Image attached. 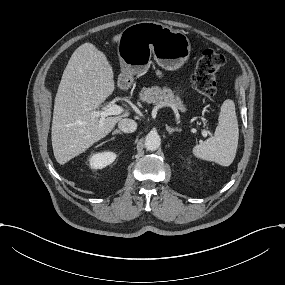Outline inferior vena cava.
Returning a JSON list of instances; mask_svg holds the SVG:
<instances>
[{
    "label": "inferior vena cava",
    "mask_w": 285,
    "mask_h": 285,
    "mask_svg": "<svg viewBox=\"0 0 285 285\" xmlns=\"http://www.w3.org/2000/svg\"><path fill=\"white\" fill-rule=\"evenodd\" d=\"M118 127L125 133H132L136 130L137 124L132 119H121L118 123Z\"/></svg>",
    "instance_id": "602c4592"
}]
</instances>
